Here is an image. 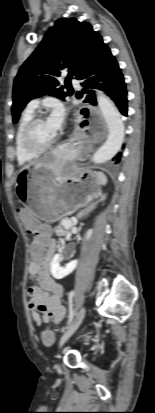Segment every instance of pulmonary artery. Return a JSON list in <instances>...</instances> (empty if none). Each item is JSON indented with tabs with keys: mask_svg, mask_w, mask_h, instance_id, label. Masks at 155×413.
I'll return each mask as SVG.
<instances>
[{
	"mask_svg": "<svg viewBox=\"0 0 155 413\" xmlns=\"http://www.w3.org/2000/svg\"><path fill=\"white\" fill-rule=\"evenodd\" d=\"M71 83L77 87H79V82L75 78H71ZM40 100L39 99H33L28 103L27 108L30 110H36L39 106Z\"/></svg>",
	"mask_w": 155,
	"mask_h": 413,
	"instance_id": "obj_1",
	"label": "pulmonary artery"
}]
</instances>
